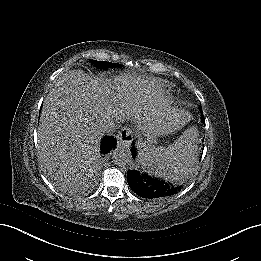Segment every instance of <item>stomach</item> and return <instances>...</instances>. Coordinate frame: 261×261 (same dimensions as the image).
<instances>
[{"instance_id":"stomach-1","label":"stomach","mask_w":261,"mask_h":261,"mask_svg":"<svg viewBox=\"0 0 261 261\" xmlns=\"http://www.w3.org/2000/svg\"><path fill=\"white\" fill-rule=\"evenodd\" d=\"M145 113L147 114V118H148V120L146 121V127L148 128V130L144 131V133L147 137L148 142L152 143L153 135H152L151 129H153L155 127V120L158 119L159 113H152L147 110L145 111ZM138 147L142 150L140 157H141V155L146 154L148 149L151 148V146L149 144L147 146L146 143H143V142H139ZM142 148H144V149H142Z\"/></svg>"}]
</instances>
